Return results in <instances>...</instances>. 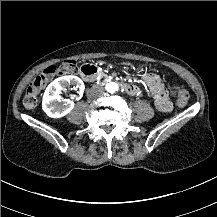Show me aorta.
<instances>
[{
	"mask_svg": "<svg viewBox=\"0 0 217 217\" xmlns=\"http://www.w3.org/2000/svg\"><path fill=\"white\" fill-rule=\"evenodd\" d=\"M118 86V85H117ZM118 89H119V86H118V88H116V91H118Z\"/></svg>",
	"mask_w": 217,
	"mask_h": 217,
	"instance_id": "762f6f07",
	"label": "aorta"
}]
</instances>
